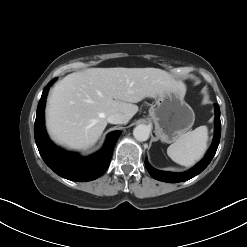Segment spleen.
Segmentation results:
<instances>
[{"instance_id": "1", "label": "spleen", "mask_w": 247, "mask_h": 247, "mask_svg": "<svg viewBox=\"0 0 247 247\" xmlns=\"http://www.w3.org/2000/svg\"><path fill=\"white\" fill-rule=\"evenodd\" d=\"M208 128L200 126L182 134L167 148L168 156L182 166H192L207 148Z\"/></svg>"}]
</instances>
